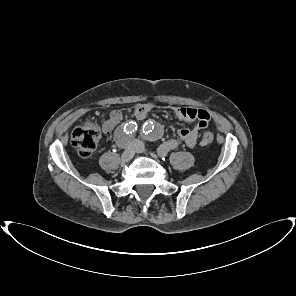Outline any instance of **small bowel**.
Wrapping results in <instances>:
<instances>
[{"mask_svg":"<svg viewBox=\"0 0 296 296\" xmlns=\"http://www.w3.org/2000/svg\"><path fill=\"white\" fill-rule=\"evenodd\" d=\"M151 110V105L148 103L138 104L133 110V116L136 119H144ZM174 114L184 121H197L196 125L192 128H179L177 130V138L169 139L161 144L159 153L167 155L170 151L176 149L181 142L186 146L193 148L199 137L201 130L205 129L210 121V115L206 110L195 109L189 107H174ZM122 112L114 109L110 112L108 119L103 124L105 133H110L122 120Z\"/></svg>","mask_w":296,"mask_h":296,"instance_id":"1","label":"small bowel"}]
</instances>
